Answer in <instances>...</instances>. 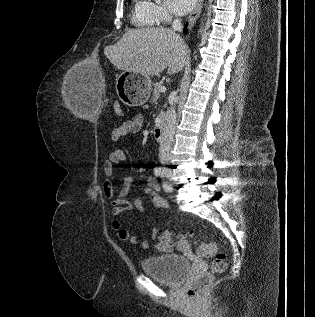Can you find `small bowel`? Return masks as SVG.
Masks as SVG:
<instances>
[{"mask_svg":"<svg viewBox=\"0 0 315 317\" xmlns=\"http://www.w3.org/2000/svg\"><path fill=\"white\" fill-rule=\"evenodd\" d=\"M143 116L141 114L135 115L132 119L126 120L122 124L116 126L111 133V140L116 142L125 137L129 133L138 132L143 126ZM126 160V154L122 149L113 150L103 164V170L106 176L103 192L104 195L110 199L112 206V215L114 220L112 227L117 234V237L122 241H129L133 245L139 244L141 248L148 249L149 242L147 240L139 241L138 238L132 235L121 221L117 218L122 212L137 209L139 212H145L146 207L143 201L138 196H135L132 201H128L126 197L130 193L135 192L134 178L126 176L123 179L122 186L117 194L114 193L113 180L115 168L122 165ZM143 192L151 198L153 206L156 209H165L168 204L167 201L160 195V185L153 177H147L142 188ZM158 230L151 229L150 236L152 239L157 237Z\"/></svg>","mask_w":315,"mask_h":317,"instance_id":"c3829d8e","label":"small bowel"}]
</instances>
